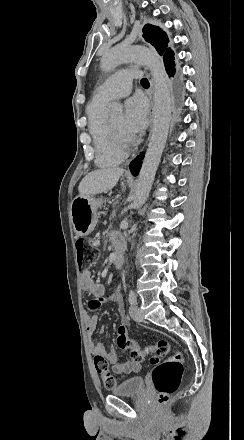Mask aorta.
Instances as JSON below:
<instances>
[{"instance_id":"obj_1","label":"aorta","mask_w":244,"mask_h":440,"mask_svg":"<svg viewBox=\"0 0 244 440\" xmlns=\"http://www.w3.org/2000/svg\"><path fill=\"white\" fill-rule=\"evenodd\" d=\"M129 61L146 65L151 70L155 103L151 138L138 176L133 201V208L138 210L148 198L167 140L171 121V92L167 73L159 56L145 47L117 46L102 57L101 69L109 72L119 64ZM110 111L121 115V104L111 103Z\"/></svg>"}]
</instances>
